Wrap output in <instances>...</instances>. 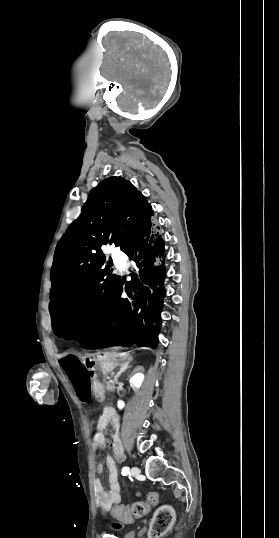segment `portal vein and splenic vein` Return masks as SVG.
Returning a JSON list of instances; mask_svg holds the SVG:
<instances>
[{
    "label": "portal vein and splenic vein",
    "mask_w": 279,
    "mask_h": 538,
    "mask_svg": "<svg viewBox=\"0 0 279 538\" xmlns=\"http://www.w3.org/2000/svg\"><path fill=\"white\" fill-rule=\"evenodd\" d=\"M109 383H115V380H109Z\"/></svg>",
    "instance_id": "portal-vein-and-splenic-vein-1"
}]
</instances>
